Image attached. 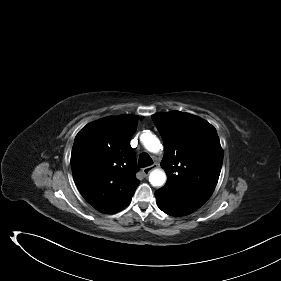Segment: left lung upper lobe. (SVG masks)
I'll list each match as a JSON object with an SVG mask.
<instances>
[{
    "label": "left lung upper lobe",
    "instance_id": "1",
    "mask_svg": "<svg viewBox=\"0 0 281 281\" xmlns=\"http://www.w3.org/2000/svg\"><path fill=\"white\" fill-rule=\"evenodd\" d=\"M152 119L164 141L165 186L209 199L223 161L216 129L202 118L180 111L154 114Z\"/></svg>",
    "mask_w": 281,
    "mask_h": 281
}]
</instances>
